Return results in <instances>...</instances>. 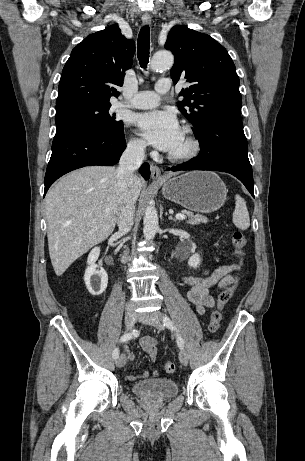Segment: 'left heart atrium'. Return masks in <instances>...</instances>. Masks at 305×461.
I'll return each instance as SVG.
<instances>
[{"instance_id": "1", "label": "left heart atrium", "mask_w": 305, "mask_h": 461, "mask_svg": "<svg viewBox=\"0 0 305 461\" xmlns=\"http://www.w3.org/2000/svg\"><path fill=\"white\" fill-rule=\"evenodd\" d=\"M133 121L139 133L159 150L171 152L181 138V127L172 112L142 113L136 115Z\"/></svg>"}]
</instances>
